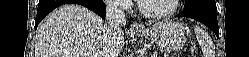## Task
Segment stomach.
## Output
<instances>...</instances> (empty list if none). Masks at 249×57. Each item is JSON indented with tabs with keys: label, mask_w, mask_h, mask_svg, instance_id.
<instances>
[{
	"label": "stomach",
	"mask_w": 249,
	"mask_h": 57,
	"mask_svg": "<svg viewBox=\"0 0 249 57\" xmlns=\"http://www.w3.org/2000/svg\"><path fill=\"white\" fill-rule=\"evenodd\" d=\"M134 34L152 40L157 45L173 52L182 49L186 41V29L177 21L157 22L148 29L135 31Z\"/></svg>",
	"instance_id": "obj_1"
}]
</instances>
